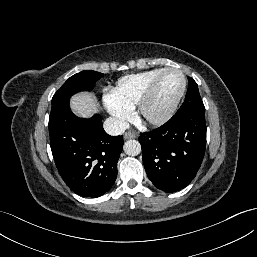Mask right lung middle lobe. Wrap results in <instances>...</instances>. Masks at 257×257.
<instances>
[{
  "label": "right lung middle lobe",
  "instance_id": "dd1d6c3e",
  "mask_svg": "<svg viewBox=\"0 0 257 257\" xmlns=\"http://www.w3.org/2000/svg\"><path fill=\"white\" fill-rule=\"evenodd\" d=\"M102 77V73L92 70H85L71 76L54 94L49 120L69 108V100L73 94L92 90L95 83Z\"/></svg>",
  "mask_w": 257,
  "mask_h": 257
}]
</instances>
